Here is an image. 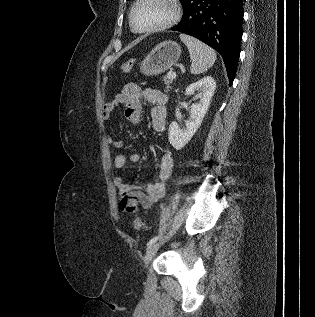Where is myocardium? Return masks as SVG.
<instances>
[{
  "mask_svg": "<svg viewBox=\"0 0 315 317\" xmlns=\"http://www.w3.org/2000/svg\"><path fill=\"white\" fill-rule=\"evenodd\" d=\"M143 1L144 0H136V2L133 4L131 8L130 15H129L130 26L137 33H153V32H158V31L168 29L172 27L173 25H175L181 18L182 11H181V5L179 0H167V2L171 5V8H172V14L167 21H165L164 23L160 25L150 27V28H145V29L137 28L134 23V13L137 6Z\"/></svg>",
  "mask_w": 315,
  "mask_h": 317,
  "instance_id": "f54148a6",
  "label": "myocardium"
}]
</instances>
